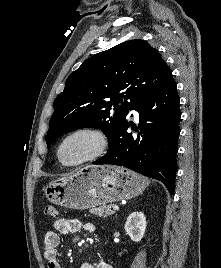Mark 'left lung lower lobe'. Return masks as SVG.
I'll return each mask as SVG.
<instances>
[{
	"label": "left lung lower lobe",
	"instance_id": "obj_1",
	"mask_svg": "<svg viewBox=\"0 0 221 268\" xmlns=\"http://www.w3.org/2000/svg\"><path fill=\"white\" fill-rule=\"evenodd\" d=\"M179 102L173 78L160 89L139 100L131 107L139 113L138 128L126 120L115 137L109 141L106 155L93 164L127 167L160 180L173 194L180 134ZM129 127L138 134L128 133Z\"/></svg>",
	"mask_w": 221,
	"mask_h": 268
}]
</instances>
